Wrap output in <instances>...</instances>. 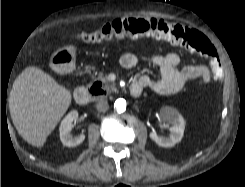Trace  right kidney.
Instances as JSON below:
<instances>
[{
  "label": "right kidney",
  "mask_w": 245,
  "mask_h": 187,
  "mask_svg": "<svg viewBox=\"0 0 245 187\" xmlns=\"http://www.w3.org/2000/svg\"><path fill=\"white\" fill-rule=\"evenodd\" d=\"M78 118V112L73 110L69 112L65 118L61 121L59 131H60V140L64 146L67 147H75L81 144L84 139L85 135L80 134L78 136H74L71 134L72 130V123Z\"/></svg>",
  "instance_id": "right-kidney-1"
}]
</instances>
